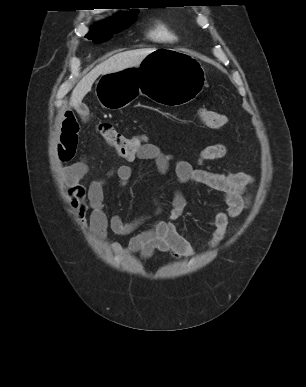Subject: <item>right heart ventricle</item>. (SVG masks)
<instances>
[{"label":"right heart ventricle","mask_w":306,"mask_h":387,"mask_svg":"<svg viewBox=\"0 0 306 387\" xmlns=\"http://www.w3.org/2000/svg\"><path fill=\"white\" fill-rule=\"evenodd\" d=\"M147 36L149 39L159 43H173L177 40V35L173 29L161 20L153 23L147 32Z\"/></svg>","instance_id":"e07e8e85"}]
</instances>
